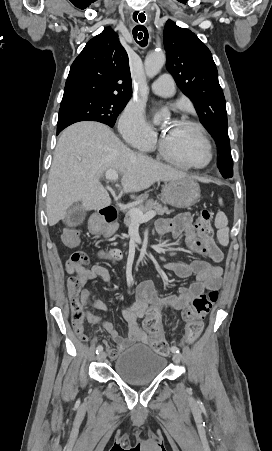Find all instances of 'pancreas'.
Returning <instances> with one entry per match:
<instances>
[{
	"label": "pancreas",
	"mask_w": 272,
	"mask_h": 451,
	"mask_svg": "<svg viewBox=\"0 0 272 451\" xmlns=\"http://www.w3.org/2000/svg\"><path fill=\"white\" fill-rule=\"evenodd\" d=\"M148 198V194H142V196H139V198H137V200H147ZM135 208H137V210H141V212H151V210H154V212H156V214H158V216H163V214H171V212H174V210H168V208H166V206H161V204H157V202H152V200H147V202H145V204H137V206H135ZM124 224L125 226H131V224H133L131 218H130V212H127L125 218H124ZM118 227V224H113V226H109L108 227V233L109 235H112V233H114V231H116Z\"/></svg>",
	"instance_id": "1"
}]
</instances>
